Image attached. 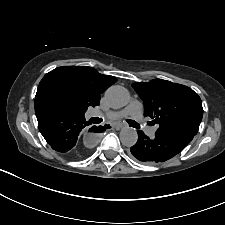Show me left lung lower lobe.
Returning <instances> with one entry per match:
<instances>
[{
	"label": "left lung lower lobe",
	"instance_id": "0a47b994",
	"mask_svg": "<svg viewBox=\"0 0 225 225\" xmlns=\"http://www.w3.org/2000/svg\"><path fill=\"white\" fill-rule=\"evenodd\" d=\"M137 143L130 148L131 154L146 164L165 162L180 153L193 139L191 133L156 134L150 139L138 130Z\"/></svg>",
	"mask_w": 225,
	"mask_h": 225
}]
</instances>
